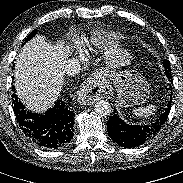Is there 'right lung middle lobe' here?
Listing matches in <instances>:
<instances>
[{
  "instance_id": "1",
  "label": "right lung middle lobe",
  "mask_w": 183,
  "mask_h": 183,
  "mask_svg": "<svg viewBox=\"0 0 183 183\" xmlns=\"http://www.w3.org/2000/svg\"><path fill=\"white\" fill-rule=\"evenodd\" d=\"M37 33V30H34L30 33V35H28V37L26 38L25 42L29 41L30 39H32Z\"/></svg>"
}]
</instances>
